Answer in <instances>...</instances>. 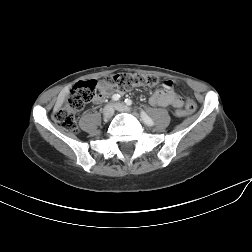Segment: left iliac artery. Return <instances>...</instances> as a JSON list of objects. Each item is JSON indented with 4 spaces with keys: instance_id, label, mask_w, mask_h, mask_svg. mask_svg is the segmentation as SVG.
<instances>
[{
    "instance_id": "left-iliac-artery-1",
    "label": "left iliac artery",
    "mask_w": 252,
    "mask_h": 252,
    "mask_svg": "<svg viewBox=\"0 0 252 252\" xmlns=\"http://www.w3.org/2000/svg\"><path fill=\"white\" fill-rule=\"evenodd\" d=\"M125 103L126 105L130 106L132 105V100L131 99H125ZM140 115H141V118L143 119V121L148 125V126H153L154 125V122L153 120L146 114L145 111H140Z\"/></svg>"
}]
</instances>
